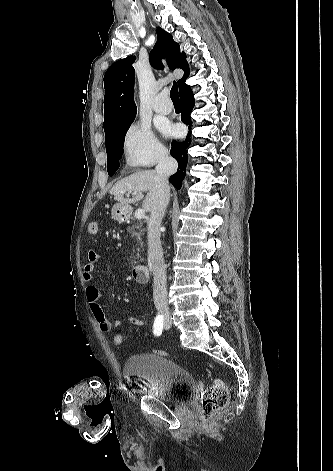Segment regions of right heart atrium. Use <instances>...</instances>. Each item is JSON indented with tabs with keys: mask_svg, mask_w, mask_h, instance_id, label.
I'll use <instances>...</instances> for the list:
<instances>
[{
	"mask_svg": "<svg viewBox=\"0 0 333 471\" xmlns=\"http://www.w3.org/2000/svg\"><path fill=\"white\" fill-rule=\"evenodd\" d=\"M123 154L131 166H151L163 160L166 148L142 122H133L126 129L122 140Z\"/></svg>",
	"mask_w": 333,
	"mask_h": 471,
	"instance_id": "d8ad5b80",
	"label": "right heart atrium"
}]
</instances>
